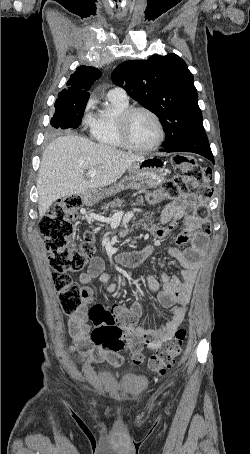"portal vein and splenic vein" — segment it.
Returning <instances> with one entry per match:
<instances>
[{
  "instance_id": "obj_1",
  "label": "portal vein and splenic vein",
  "mask_w": 250,
  "mask_h": 454,
  "mask_svg": "<svg viewBox=\"0 0 250 454\" xmlns=\"http://www.w3.org/2000/svg\"><path fill=\"white\" fill-rule=\"evenodd\" d=\"M97 173V170L96 169H91L87 172V177H94ZM117 214H120V215H123V212H119Z\"/></svg>"
}]
</instances>
